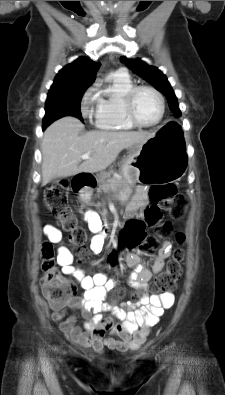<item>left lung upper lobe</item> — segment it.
Returning a JSON list of instances; mask_svg holds the SVG:
<instances>
[{
	"mask_svg": "<svg viewBox=\"0 0 225 395\" xmlns=\"http://www.w3.org/2000/svg\"><path fill=\"white\" fill-rule=\"evenodd\" d=\"M121 61L134 73L147 80L153 87L166 96L169 107L175 116L179 117L181 115L175 93L166 76L158 68L149 66L140 59L131 60L122 57Z\"/></svg>",
	"mask_w": 225,
	"mask_h": 395,
	"instance_id": "left-lung-upper-lobe-1",
	"label": "left lung upper lobe"
}]
</instances>
